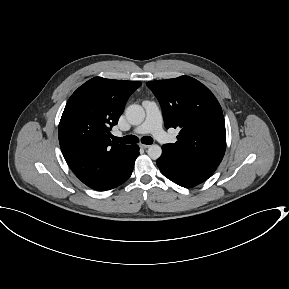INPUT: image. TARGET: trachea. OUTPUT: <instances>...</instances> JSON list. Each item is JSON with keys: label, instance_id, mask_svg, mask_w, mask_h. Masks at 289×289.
Masks as SVG:
<instances>
[{"label": "trachea", "instance_id": "3493384b", "mask_svg": "<svg viewBox=\"0 0 289 289\" xmlns=\"http://www.w3.org/2000/svg\"><path fill=\"white\" fill-rule=\"evenodd\" d=\"M112 139L115 143H123V144H135L139 142V138L134 135H127L122 138L112 136ZM141 142L143 144L149 145L153 143V139L150 136H144L141 138Z\"/></svg>", "mask_w": 289, "mask_h": 289}]
</instances>
